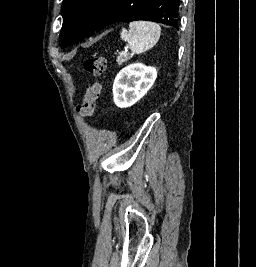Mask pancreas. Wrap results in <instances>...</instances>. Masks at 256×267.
Listing matches in <instances>:
<instances>
[{
  "label": "pancreas",
  "instance_id": "1",
  "mask_svg": "<svg viewBox=\"0 0 256 267\" xmlns=\"http://www.w3.org/2000/svg\"><path fill=\"white\" fill-rule=\"evenodd\" d=\"M129 58H131L129 54H125V52H122L120 56H117L116 62H118V66H122L123 62H128Z\"/></svg>",
  "mask_w": 256,
  "mask_h": 267
}]
</instances>
